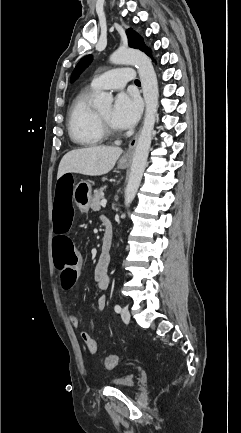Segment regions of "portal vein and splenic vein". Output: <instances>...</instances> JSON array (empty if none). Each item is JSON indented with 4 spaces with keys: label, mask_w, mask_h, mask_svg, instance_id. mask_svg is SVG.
<instances>
[{
    "label": "portal vein and splenic vein",
    "mask_w": 241,
    "mask_h": 433,
    "mask_svg": "<svg viewBox=\"0 0 241 433\" xmlns=\"http://www.w3.org/2000/svg\"><path fill=\"white\" fill-rule=\"evenodd\" d=\"M106 204H107V200H106V199H103V200L101 201V203H100V205H101L102 207H105Z\"/></svg>",
    "instance_id": "18ae733b"
}]
</instances>
